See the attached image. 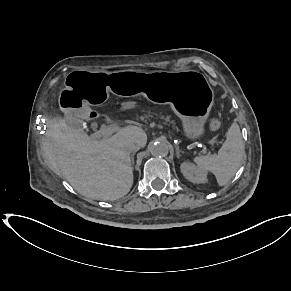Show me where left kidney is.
<instances>
[{
    "label": "left kidney",
    "instance_id": "left-kidney-1",
    "mask_svg": "<svg viewBox=\"0 0 291 291\" xmlns=\"http://www.w3.org/2000/svg\"><path fill=\"white\" fill-rule=\"evenodd\" d=\"M181 172L186 179L193 183H206L207 180V171L199 167H196L190 162H183L180 166Z\"/></svg>",
    "mask_w": 291,
    "mask_h": 291
}]
</instances>
